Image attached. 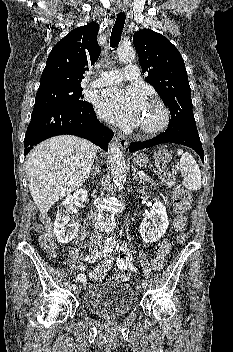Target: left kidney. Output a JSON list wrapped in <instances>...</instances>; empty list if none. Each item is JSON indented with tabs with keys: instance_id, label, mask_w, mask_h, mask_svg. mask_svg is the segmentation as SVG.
I'll return each instance as SVG.
<instances>
[{
	"instance_id": "left-kidney-1",
	"label": "left kidney",
	"mask_w": 233,
	"mask_h": 352,
	"mask_svg": "<svg viewBox=\"0 0 233 352\" xmlns=\"http://www.w3.org/2000/svg\"><path fill=\"white\" fill-rule=\"evenodd\" d=\"M169 226V220L166 207L160 201H156L140 224V233L146 243L158 241L166 233Z\"/></svg>"
}]
</instances>
